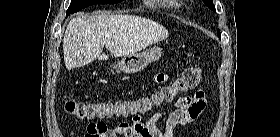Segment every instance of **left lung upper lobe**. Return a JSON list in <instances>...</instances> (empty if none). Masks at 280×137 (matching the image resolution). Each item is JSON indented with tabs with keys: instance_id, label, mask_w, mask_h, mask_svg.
I'll return each mask as SVG.
<instances>
[{
	"instance_id": "1",
	"label": "left lung upper lobe",
	"mask_w": 280,
	"mask_h": 137,
	"mask_svg": "<svg viewBox=\"0 0 280 137\" xmlns=\"http://www.w3.org/2000/svg\"><path fill=\"white\" fill-rule=\"evenodd\" d=\"M203 2L205 3V5L207 7H209L211 10H213L214 12H216L215 10V5L213 4L212 0H203ZM218 36L219 38L221 37V33H220V30H218Z\"/></svg>"
}]
</instances>
